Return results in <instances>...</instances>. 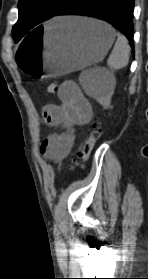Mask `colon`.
Masks as SVG:
<instances>
[{"instance_id": "1", "label": "colon", "mask_w": 148, "mask_h": 279, "mask_svg": "<svg viewBox=\"0 0 148 279\" xmlns=\"http://www.w3.org/2000/svg\"><path fill=\"white\" fill-rule=\"evenodd\" d=\"M58 90L59 87L57 83H51L47 87V91L50 94H55L58 92ZM100 135H101L100 126L98 123H94L90 128L85 140L80 146L79 158L81 159V163H84L89 159L95 144L100 138Z\"/></svg>"}]
</instances>
